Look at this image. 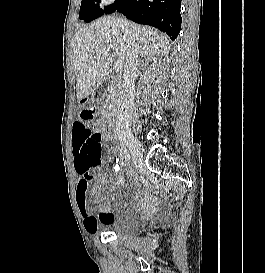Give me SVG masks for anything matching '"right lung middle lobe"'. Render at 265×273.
I'll list each match as a JSON object with an SVG mask.
<instances>
[{
    "label": "right lung middle lobe",
    "mask_w": 265,
    "mask_h": 273,
    "mask_svg": "<svg viewBox=\"0 0 265 273\" xmlns=\"http://www.w3.org/2000/svg\"><path fill=\"white\" fill-rule=\"evenodd\" d=\"M100 2L101 0H82L79 18L85 22H91L103 14H110L115 10L119 0H116L112 5L104 7V9H99Z\"/></svg>",
    "instance_id": "obj_1"
}]
</instances>
